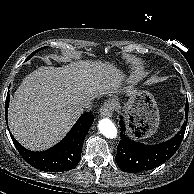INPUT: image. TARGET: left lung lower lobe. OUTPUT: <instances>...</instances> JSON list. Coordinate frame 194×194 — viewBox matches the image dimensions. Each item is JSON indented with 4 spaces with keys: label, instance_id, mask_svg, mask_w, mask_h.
Here are the masks:
<instances>
[{
    "label": "left lung lower lobe",
    "instance_id": "left-lung-lower-lobe-1",
    "mask_svg": "<svg viewBox=\"0 0 194 194\" xmlns=\"http://www.w3.org/2000/svg\"><path fill=\"white\" fill-rule=\"evenodd\" d=\"M186 120L181 130L170 140L155 145H145L132 141L125 134L117 147L115 160L119 168L125 172L137 173L151 170L173 156L179 148L186 130L188 119V101L185 106ZM120 126L125 131L123 117H120Z\"/></svg>",
    "mask_w": 194,
    "mask_h": 194
}]
</instances>
